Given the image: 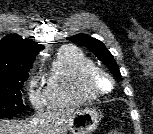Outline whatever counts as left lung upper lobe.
Returning a JSON list of instances; mask_svg holds the SVG:
<instances>
[{"label": "left lung upper lobe", "instance_id": "left-lung-upper-lobe-1", "mask_svg": "<svg viewBox=\"0 0 153 134\" xmlns=\"http://www.w3.org/2000/svg\"><path fill=\"white\" fill-rule=\"evenodd\" d=\"M67 39L74 43H77L80 46H85L86 48H88L91 52L94 53L97 58L102 60V62L109 68V70L113 74L120 76V71L113 58V55L108 51V49L101 41L85 34H77Z\"/></svg>", "mask_w": 153, "mask_h": 134}]
</instances>
